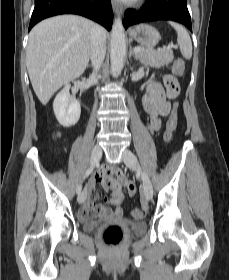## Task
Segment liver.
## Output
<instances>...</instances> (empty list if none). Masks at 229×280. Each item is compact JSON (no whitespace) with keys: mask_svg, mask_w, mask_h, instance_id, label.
Returning <instances> with one entry per match:
<instances>
[{"mask_svg":"<svg viewBox=\"0 0 229 280\" xmlns=\"http://www.w3.org/2000/svg\"><path fill=\"white\" fill-rule=\"evenodd\" d=\"M93 25L80 16L61 15L41 21L31 30L26 65L32 87L43 105L63 85L84 73Z\"/></svg>","mask_w":229,"mask_h":280,"instance_id":"obj_1","label":"liver"}]
</instances>
